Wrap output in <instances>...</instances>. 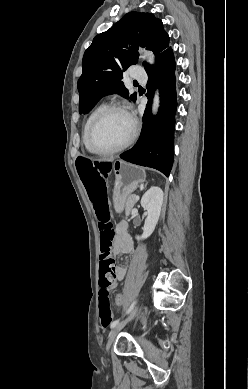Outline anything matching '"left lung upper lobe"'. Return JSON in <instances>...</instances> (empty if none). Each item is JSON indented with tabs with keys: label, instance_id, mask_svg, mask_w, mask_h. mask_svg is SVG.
Returning a JSON list of instances; mask_svg holds the SVG:
<instances>
[{
	"label": "left lung upper lobe",
	"instance_id": "1",
	"mask_svg": "<svg viewBox=\"0 0 248 389\" xmlns=\"http://www.w3.org/2000/svg\"><path fill=\"white\" fill-rule=\"evenodd\" d=\"M156 55L168 48L169 36L162 21L150 13L130 12L106 32L98 34L83 56L82 75L78 80L79 113L87 114L105 95L118 93L132 101L121 79L122 71L138 62V47ZM145 70L151 66L144 63Z\"/></svg>",
	"mask_w": 248,
	"mask_h": 389
}]
</instances>
